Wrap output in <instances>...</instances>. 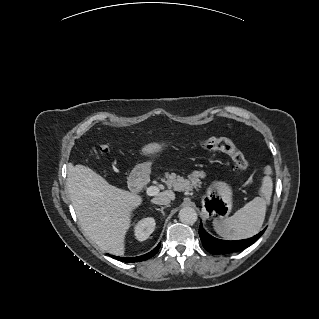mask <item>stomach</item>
Returning a JSON list of instances; mask_svg holds the SVG:
<instances>
[{
    "mask_svg": "<svg viewBox=\"0 0 319 319\" xmlns=\"http://www.w3.org/2000/svg\"><path fill=\"white\" fill-rule=\"evenodd\" d=\"M157 149V146H148L144 149V153L147 155H153L155 152H157ZM140 170L141 169H138L136 171L137 176L139 175V173H141L143 177H146L148 175V168H146V171L140 172ZM224 194L225 186H215L214 188H212L210 191V195L212 197H210V195L208 196V199L204 203V210L211 212L213 215L221 217L227 214L230 211V208L226 203V200L224 199Z\"/></svg>",
    "mask_w": 319,
    "mask_h": 319,
    "instance_id": "0dacf381",
    "label": "stomach"
}]
</instances>
